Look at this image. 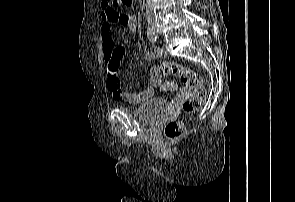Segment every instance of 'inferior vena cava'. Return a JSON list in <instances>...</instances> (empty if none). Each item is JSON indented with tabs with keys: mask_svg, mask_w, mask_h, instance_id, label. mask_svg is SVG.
<instances>
[{
	"mask_svg": "<svg viewBox=\"0 0 295 202\" xmlns=\"http://www.w3.org/2000/svg\"><path fill=\"white\" fill-rule=\"evenodd\" d=\"M148 4L146 6V16H147V19H154V14H153V11L151 9V6H150V0H147Z\"/></svg>",
	"mask_w": 295,
	"mask_h": 202,
	"instance_id": "602c4592",
	"label": "inferior vena cava"
}]
</instances>
